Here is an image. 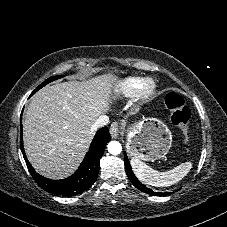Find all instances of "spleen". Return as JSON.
<instances>
[{"instance_id": "obj_1", "label": "spleen", "mask_w": 227, "mask_h": 227, "mask_svg": "<svg viewBox=\"0 0 227 227\" xmlns=\"http://www.w3.org/2000/svg\"><path fill=\"white\" fill-rule=\"evenodd\" d=\"M136 177L146 185L167 187L182 180L192 168L191 162H185L166 172H158L136 157L131 159Z\"/></svg>"}]
</instances>
